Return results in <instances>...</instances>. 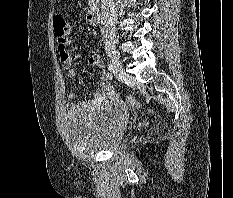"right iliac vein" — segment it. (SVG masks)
Masks as SVG:
<instances>
[{"mask_svg":"<svg viewBox=\"0 0 233 198\" xmlns=\"http://www.w3.org/2000/svg\"><path fill=\"white\" fill-rule=\"evenodd\" d=\"M110 57V67L112 68L113 73L119 79H125L128 75L122 65V62L116 52L109 54Z\"/></svg>","mask_w":233,"mask_h":198,"instance_id":"63e3f726","label":"right iliac vein"}]
</instances>
